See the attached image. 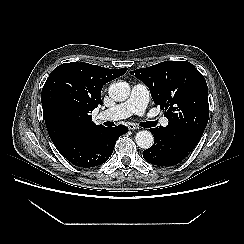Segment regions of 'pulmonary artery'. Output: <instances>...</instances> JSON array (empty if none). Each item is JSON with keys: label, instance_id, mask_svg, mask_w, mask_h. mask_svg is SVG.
Masks as SVG:
<instances>
[{"label": "pulmonary artery", "instance_id": "1", "mask_svg": "<svg viewBox=\"0 0 244 244\" xmlns=\"http://www.w3.org/2000/svg\"><path fill=\"white\" fill-rule=\"evenodd\" d=\"M149 103V91L143 84H135L132 87L130 97L123 103L109 108L101 113L105 119L118 120L131 116L132 114L143 115ZM161 124L166 126L168 119L163 117Z\"/></svg>", "mask_w": 244, "mask_h": 244}]
</instances>
